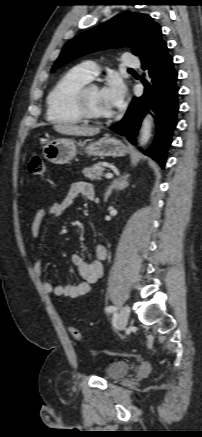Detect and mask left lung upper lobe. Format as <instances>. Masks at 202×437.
Listing matches in <instances>:
<instances>
[{"label": "left lung upper lobe", "mask_w": 202, "mask_h": 437, "mask_svg": "<svg viewBox=\"0 0 202 437\" xmlns=\"http://www.w3.org/2000/svg\"><path fill=\"white\" fill-rule=\"evenodd\" d=\"M164 43L160 26L149 15L127 12L71 39L51 71L98 49L122 45L133 46V53L144 61L152 57Z\"/></svg>", "instance_id": "5c2ea615"}]
</instances>
